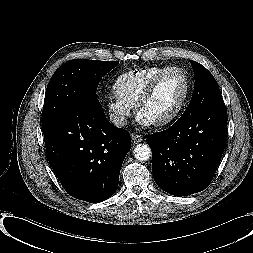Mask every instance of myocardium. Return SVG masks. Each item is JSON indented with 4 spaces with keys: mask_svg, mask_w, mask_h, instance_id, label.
<instances>
[{
    "mask_svg": "<svg viewBox=\"0 0 253 253\" xmlns=\"http://www.w3.org/2000/svg\"><path fill=\"white\" fill-rule=\"evenodd\" d=\"M173 72H178L182 75L184 82H185V89H184V93L179 101V103L177 104L176 108L168 115L156 120V121H152L149 122L150 125L154 126V127H161V126H165L171 122H173L174 120H176L178 118V116L182 113V111L184 110V107L187 103V100L189 98L190 95V88H191V84H190V79L188 74L186 73V71L181 68V67H169L168 69H166L165 71H163L162 73L158 74L150 83L149 85L146 87V89L144 90V92L142 93L141 97L139 98L137 104H136V113L137 116L141 118V112L143 110V108L148 104V102L152 99L157 87L159 86L160 82L170 73Z\"/></svg>",
    "mask_w": 253,
    "mask_h": 253,
    "instance_id": "f54148a6",
    "label": "myocardium"
}]
</instances>
